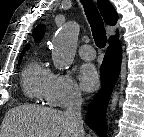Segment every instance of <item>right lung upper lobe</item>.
Segmentation results:
<instances>
[{"instance_id": "obj_1", "label": "right lung upper lobe", "mask_w": 144, "mask_h": 137, "mask_svg": "<svg viewBox=\"0 0 144 137\" xmlns=\"http://www.w3.org/2000/svg\"><path fill=\"white\" fill-rule=\"evenodd\" d=\"M97 2H98V6H99L100 12L104 18L105 23L108 25H111V26L116 25L117 20H118V15H117V12L115 11L114 7L112 6V4L108 0H97ZM43 35H44V28L42 25H38L33 30V37L36 40V42H39L43 38ZM115 39H118L117 36H112L109 38V42H111ZM29 46L30 45H27L23 49V51L20 55V58H22L24 52L29 49Z\"/></svg>"}]
</instances>
